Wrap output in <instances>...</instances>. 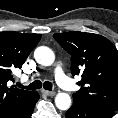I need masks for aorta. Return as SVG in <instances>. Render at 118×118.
Returning a JSON list of instances; mask_svg holds the SVG:
<instances>
[{"instance_id":"aorta-1","label":"aorta","mask_w":118,"mask_h":118,"mask_svg":"<svg viewBox=\"0 0 118 118\" xmlns=\"http://www.w3.org/2000/svg\"><path fill=\"white\" fill-rule=\"evenodd\" d=\"M34 58L37 63L50 66L55 60V55L50 48L40 46L35 49ZM55 105L59 110H68L71 107V97L68 93L59 92L55 97Z\"/></svg>"}]
</instances>
